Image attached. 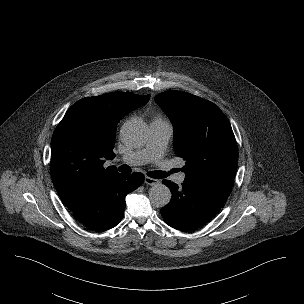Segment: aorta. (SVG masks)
<instances>
[{"label":"aorta","mask_w":304,"mask_h":304,"mask_svg":"<svg viewBox=\"0 0 304 304\" xmlns=\"http://www.w3.org/2000/svg\"><path fill=\"white\" fill-rule=\"evenodd\" d=\"M147 136L148 128L139 119H131L124 123L121 128V138L127 146L138 147L146 141ZM171 197L170 189L162 183L154 184L149 190V199L157 207L166 206Z\"/></svg>","instance_id":"obj_1"}]
</instances>
